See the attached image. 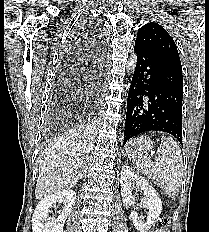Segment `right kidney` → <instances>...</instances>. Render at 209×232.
<instances>
[{"instance_id": "ca27d5eb", "label": "right kidney", "mask_w": 209, "mask_h": 232, "mask_svg": "<svg viewBox=\"0 0 209 232\" xmlns=\"http://www.w3.org/2000/svg\"><path fill=\"white\" fill-rule=\"evenodd\" d=\"M76 201V193L71 189H64L49 195L38 203L32 216L33 232H63L64 222L70 215ZM56 203L62 204V210L55 218L50 214V208Z\"/></svg>"}]
</instances>
